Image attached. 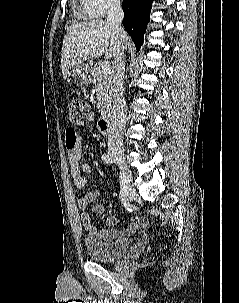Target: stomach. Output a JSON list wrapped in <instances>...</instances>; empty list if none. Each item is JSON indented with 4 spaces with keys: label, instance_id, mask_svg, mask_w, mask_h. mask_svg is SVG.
Listing matches in <instances>:
<instances>
[{
    "label": "stomach",
    "instance_id": "stomach-1",
    "mask_svg": "<svg viewBox=\"0 0 239 303\" xmlns=\"http://www.w3.org/2000/svg\"><path fill=\"white\" fill-rule=\"evenodd\" d=\"M72 76L81 84L91 82V68L86 63L77 64L72 67Z\"/></svg>",
    "mask_w": 239,
    "mask_h": 303
}]
</instances>
